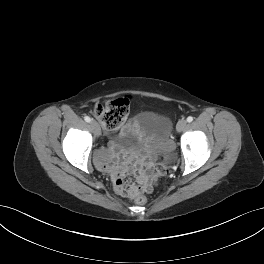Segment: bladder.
Returning <instances> with one entry per match:
<instances>
[{
  "instance_id": "obj_1",
  "label": "bladder",
  "mask_w": 264,
  "mask_h": 264,
  "mask_svg": "<svg viewBox=\"0 0 264 264\" xmlns=\"http://www.w3.org/2000/svg\"><path fill=\"white\" fill-rule=\"evenodd\" d=\"M172 124L165 115L145 111L140 113L124 132L112 135L111 143L128 150L149 147L156 155L168 153Z\"/></svg>"
}]
</instances>
